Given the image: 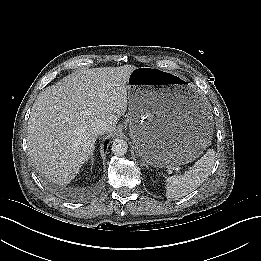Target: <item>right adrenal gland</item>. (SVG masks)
I'll list each match as a JSON object with an SVG mask.
<instances>
[{
    "label": "right adrenal gland",
    "mask_w": 261,
    "mask_h": 261,
    "mask_svg": "<svg viewBox=\"0 0 261 261\" xmlns=\"http://www.w3.org/2000/svg\"><path fill=\"white\" fill-rule=\"evenodd\" d=\"M92 155H93V154H92ZM90 160H91L92 163L94 162L93 156L90 157Z\"/></svg>",
    "instance_id": "1"
}]
</instances>
